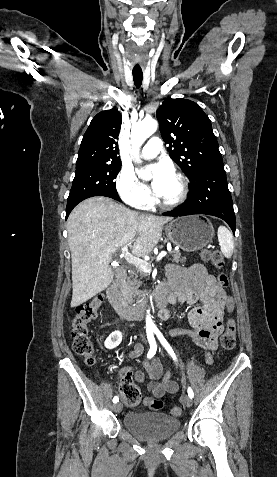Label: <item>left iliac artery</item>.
Returning a JSON list of instances; mask_svg holds the SVG:
<instances>
[{
    "mask_svg": "<svg viewBox=\"0 0 277 477\" xmlns=\"http://www.w3.org/2000/svg\"><path fill=\"white\" fill-rule=\"evenodd\" d=\"M154 332L155 334L157 335L159 341L161 342V344L164 346V348L167 350V352L171 355V357L176 360V355L173 351V349L171 348V346L169 345V343L166 341V339L164 338V336L162 335V333L158 330V329H154ZM188 395L190 398H193L194 396V393H193V390L188 387Z\"/></svg>",
    "mask_w": 277,
    "mask_h": 477,
    "instance_id": "1",
    "label": "left iliac artery"
}]
</instances>
